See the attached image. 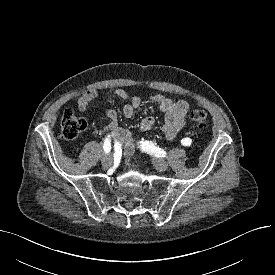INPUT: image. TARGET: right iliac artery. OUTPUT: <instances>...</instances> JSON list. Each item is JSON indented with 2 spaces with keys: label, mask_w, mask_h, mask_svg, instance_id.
<instances>
[{
  "label": "right iliac artery",
  "mask_w": 275,
  "mask_h": 275,
  "mask_svg": "<svg viewBox=\"0 0 275 275\" xmlns=\"http://www.w3.org/2000/svg\"><path fill=\"white\" fill-rule=\"evenodd\" d=\"M110 142H111L110 138H106L105 141H104L103 149H104V152L106 154L110 153V150H111V143Z\"/></svg>",
  "instance_id": "82829eb1"
}]
</instances>
